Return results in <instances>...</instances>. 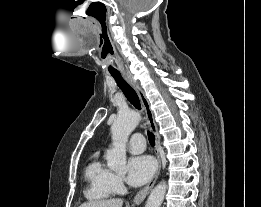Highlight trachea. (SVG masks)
Returning a JSON list of instances; mask_svg holds the SVG:
<instances>
[{
    "mask_svg": "<svg viewBox=\"0 0 261 207\" xmlns=\"http://www.w3.org/2000/svg\"><path fill=\"white\" fill-rule=\"evenodd\" d=\"M115 79L119 88L123 91L128 101L138 110L141 109L140 100L135 90L123 79L120 73L111 74ZM148 139L151 146H155V135L152 132H148Z\"/></svg>",
    "mask_w": 261,
    "mask_h": 207,
    "instance_id": "1",
    "label": "trachea"
}]
</instances>
